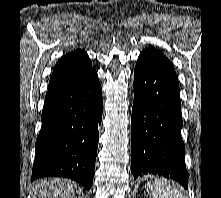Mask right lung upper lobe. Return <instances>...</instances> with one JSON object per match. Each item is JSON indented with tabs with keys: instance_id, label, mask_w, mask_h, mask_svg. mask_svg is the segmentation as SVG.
<instances>
[{
	"instance_id": "cb5924a9",
	"label": "right lung upper lobe",
	"mask_w": 221,
	"mask_h": 198,
	"mask_svg": "<svg viewBox=\"0 0 221 198\" xmlns=\"http://www.w3.org/2000/svg\"><path fill=\"white\" fill-rule=\"evenodd\" d=\"M93 70L91 61L83 50L64 55L56 63L46 96L75 84Z\"/></svg>"
}]
</instances>
